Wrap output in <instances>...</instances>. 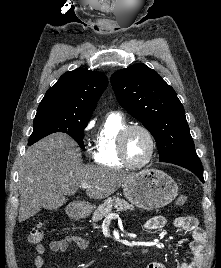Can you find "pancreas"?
<instances>
[{
	"instance_id": "obj_1",
	"label": "pancreas",
	"mask_w": 221,
	"mask_h": 268,
	"mask_svg": "<svg viewBox=\"0 0 221 268\" xmlns=\"http://www.w3.org/2000/svg\"><path fill=\"white\" fill-rule=\"evenodd\" d=\"M115 207L118 211L134 210V206L129 204L126 200L113 196L106 199L97 210L93 213L92 220L99 221L106 217Z\"/></svg>"
}]
</instances>
